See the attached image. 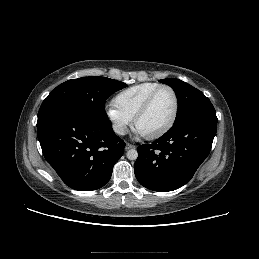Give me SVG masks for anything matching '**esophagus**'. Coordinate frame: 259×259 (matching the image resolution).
<instances>
[{
  "instance_id": "1",
  "label": "esophagus",
  "mask_w": 259,
  "mask_h": 259,
  "mask_svg": "<svg viewBox=\"0 0 259 259\" xmlns=\"http://www.w3.org/2000/svg\"><path fill=\"white\" fill-rule=\"evenodd\" d=\"M132 148H135V146L130 144V143H126V146H125L126 150H129V149H132Z\"/></svg>"
}]
</instances>
